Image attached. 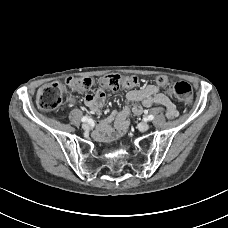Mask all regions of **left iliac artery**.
<instances>
[{
    "label": "left iliac artery",
    "mask_w": 228,
    "mask_h": 228,
    "mask_svg": "<svg viewBox=\"0 0 228 228\" xmlns=\"http://www.w3.org/2000/svg\"><path fill=\"white\" fill-rule=\"evenodd\" d=\"M154 119V116L153 115H149V116H147V118H146V120H148V121H151V120H153Z\"/></svg>",
    "instance_id": "1"
}]
</instances>
